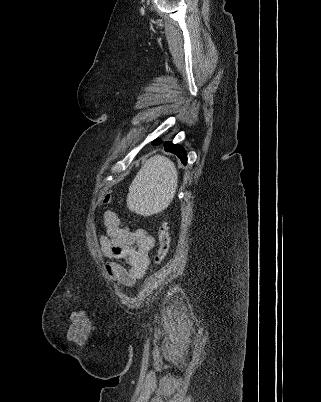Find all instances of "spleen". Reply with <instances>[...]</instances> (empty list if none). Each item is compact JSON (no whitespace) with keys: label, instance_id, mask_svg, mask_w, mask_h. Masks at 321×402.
<instances>
[{"label":"spleen","instance_id":"1","mask_svg":"<svg viewBox=\"0 0 321 402\" xmlns=\"http://www.w3.org/2000/svg\"><path fill=\"white\" fill-rule=\"evenodd\" d=\"M178 174L167 157L155 155L141 167L129 186L127 207L149 216L168 207L177 190Z\"/></svg>","mask_w":321,"mask_h":402}]
</instances>
